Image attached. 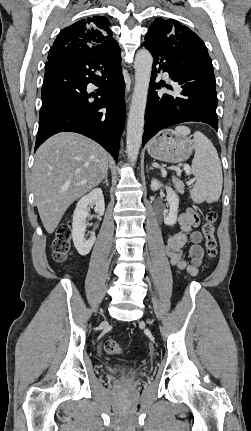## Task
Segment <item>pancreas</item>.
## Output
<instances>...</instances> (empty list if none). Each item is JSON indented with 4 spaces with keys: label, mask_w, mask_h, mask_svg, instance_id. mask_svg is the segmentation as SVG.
<instances>
[{
    "label": "pancreas",
    "mask_w": 251,
    "mask_h": 431,
    "mask_svg": "<svg viewBox=\"0 0 251 431\" xmlns=\"http://www.w3.org/2000/svg\"><path fill=\"white\" fill-rule=\"evenodd\" d=\"M172 181H173V184H174L177 192H179L180 194H183L184 193V184H183V182L180 181L177 178H173Z\"/></svg>",
    "instance_id": "1"
}]
</instances>
